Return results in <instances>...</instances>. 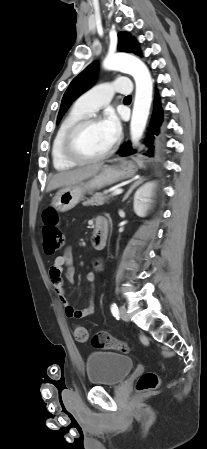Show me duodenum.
Masks as SVG:
<instances>
[{
	"label": "duodenum",
	"mask_w": 207,
	"mask_h": 449,
	"mask_svg": "<svg viewBox=\"0 0 207 449\" xmlns=\"http://www.w3.org/2000/svg\"><path fill=\"white\" fill-rule=\"evenodd\" d=\"M108 229L109 222L107 218L98 217L92 235V243L96 249H103L106 246Z\"/></svg>",
	"instance_id": "obj_1"
}]
</instances>
